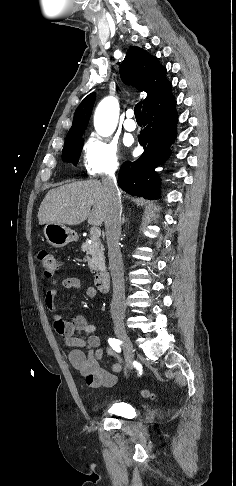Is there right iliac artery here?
<instances>
[{"label":"right iliac artery","mask_w":236,"mask_h":486,"mask_svg":"<svg viewBox=\"0 0 236 486\" xmlns=\"http://www.w3.org/2000/svg\"><path fill=\"white\" fill-rule=\"evenodd\" d=\"M108 342L110 346L113 348V350H115L116 352H121V348H120V343H122L121 341L115 338H109Z\"/></svg>","instance_id":"1"}]
</instances>
